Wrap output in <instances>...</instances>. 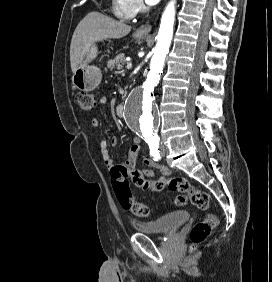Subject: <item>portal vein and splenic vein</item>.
<instances>
[{
  "label": "portal vein and splenic vein",
  "instance_id": "portal-vein-and-splenic-vein-1",
  "mask_svg": "<svg viewBox=\"0 0 272 282\" xmlns=\"http://www.w3.org/2000/svg\"><path fill=\"white\" fill-rule=\"evenodd\" d=\"M126 68H127V69H131V68H132V64H131V63H127Z\"/></svg>",
  "mask_w": 272,
  "mask_h": 282
}]
</instances>
